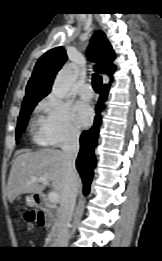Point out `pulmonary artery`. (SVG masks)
<instances>
[{"label":"pulmonary artery","mask_w":162,"mask_h":261,"mask_svg":"<svg viewBox=\"0 0 162 261\" xmlns=\"http://www.w3.org/2000/svg\"><path fill=\"white\" fill-rule=\"evenodd\" d=\"M79 95L84 99L92 98L94 95L92 86L89 83L82 85L79 89Z\"/></svg>","instance_id":"pulmonary-artery-1"}]
</instances>
